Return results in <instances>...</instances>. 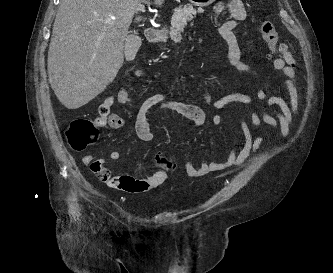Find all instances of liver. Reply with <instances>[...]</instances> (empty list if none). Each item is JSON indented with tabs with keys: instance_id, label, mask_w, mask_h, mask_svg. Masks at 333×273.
I'll list each match as a JSON object with an SVG mask.
<instances>
[{
	"instance_id": "6515ba94",
	"label": "liver",
	"mask_w": 333,
	"mask_h": 273,
	"mask_svg": "<svg viewBox=\"0 0 333 273\" xmlns=\"http://www.w3.org/2000/svg\"><path fill=\"white\" fill-rule=\"evenodd\" d=\"M164 0H154L156 6ZM148 0H61L48 50L51 88L78 109L115 79L136 7ZM141 17L136 18L140 21Z\"/></svg>"
}]
</instances>
